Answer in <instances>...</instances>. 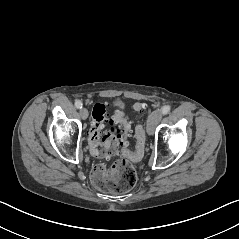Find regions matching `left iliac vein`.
<instances>
[{"mask_svg": "<svg viewBox=\"0 0 239 239\" xmlns=\"http://www.w3.org/2000/svg\"><path fill=\"white\" fill-rule=\"evenodd\" d=\"M162 119V112L160 110L153 111L147 120V132L149 135H153L156 126Z\"/></svg>", "mask_w": 239, "mask_h": 239, "instance_id": "4c4485c4", "label": "left iliac vein"}]
</instances>
